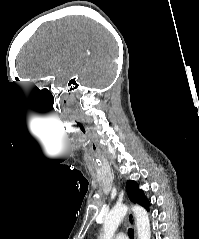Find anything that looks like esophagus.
<instances>
[{"label": "esophagus", "mask_w": 199, "mask_h": 239, "mask_svg": "<svg viewBox=\"0 0 199 239\" xmlns=\"http://www.w3.org/2000/svg\"><path fill=\"white\" fill-rule=\"evenodd\" d=\"M129 223L135 228L136 227V220L134 214L130 211L127 215Z\"/></svg>", "instance_id": "esophagus-1"}]
</instances>
